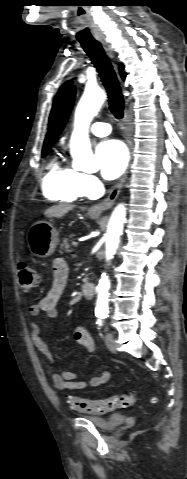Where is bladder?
I'll return each instance as SVG.
<instances>
[{"label": "bladder", "mask_w": 187, "mask_h": 479, "mask_svg": "<svg viewBox=\"0 0 187 479\" xmlns=\"http://www.w3.org/2000/svg\"><path fill=\"white\" fill-rule=\"evenodd\" d=\"M82 417L91 421L97 428L102 431H111L117 425V421L114 417L101 418L93 415H82Z\"/></svg>", "instance_id": "1"}]
</instances>
